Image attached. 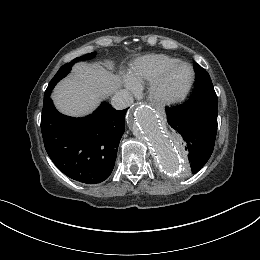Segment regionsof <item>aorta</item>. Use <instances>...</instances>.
Masks as SVG:
<instances>
[{"label":"aorta","mask_w":260,"mask_h":260,"mask_svg":"<svg viewBox=\"0 0 260 260\" xmlns=\"http://www.w3.org/2000/svg\"><path fill=\"white\" fill-rule=\"evenodd\" d=\"M128 122L134 135L147 145L165 172L174 173L185 168L180 139L166 131L151 108L138 106L129 115Z\"/></svg>","instance_id":"762f6f07"}]
</instances>
